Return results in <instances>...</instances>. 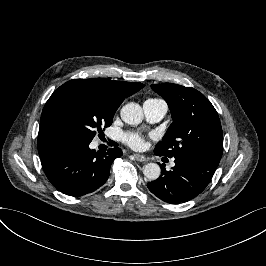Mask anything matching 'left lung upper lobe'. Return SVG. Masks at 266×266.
<instances>
[{
    "label": "left lung upper lobe",
    "instance_id": "1",
    "mask_svg": "<svg viewBox=\"0 0 266 266\" xmlns=\"http://www.w3.org/2000/svg\"><path fill=\"white\" fill-rule=\"evenodd\" d=\"M172 113L173 123L154 151L167 156L198 155L218 162L223 152V133L217 111L191 87L162 83L151 85Z\"/></svg>",
    "mask_w": 266,
    "mask_h": 266
}]
</instances>
